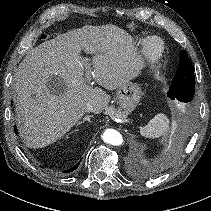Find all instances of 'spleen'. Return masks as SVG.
Instances as JSON below:
<instances>
[{
    "mask_svg": "<svg viewBox=\"0 0 211 211\" xmlns=\"http://www.w3.org/2000/svg\"><path fill=\"white\" fill-rule=\"evenodd\" d=\"M169 118L164 114L155 115L147 125L140 128V134L146 138H158L169 129Z\"/></svg>",
    "mask_w": 211,
    "mask_h": 211,
    "instance_id": "spleen-1",
    "label": "spleen"
}]
</instances>
